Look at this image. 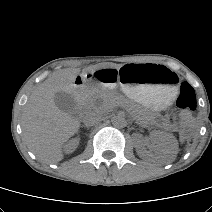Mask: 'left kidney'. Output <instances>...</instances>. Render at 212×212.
Returning a JSON list of instances; mask_svg holds the SVG:
<instances>
[{
	"mask_svg": "<svg viewBox=\"0 0 212 212\" xmlns=\"http://www.w3.org/2000/svg\"><path fill=\"white\" fill-rule=\"evenodd\" d=\"M151 139L156 143L157 153L163 162H171L174 160L178 152V143L176 138L166 132L153 131L150 135ZM136 138V151L141 158L149 156L140 134H135Z\"/></svg>",
	"mask_w": 212,
	"mask_h": 212,
	"instance_id": "left-kidney-1",
	"label": "left kidney"
}]
</instances>
